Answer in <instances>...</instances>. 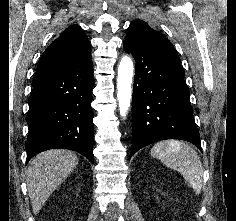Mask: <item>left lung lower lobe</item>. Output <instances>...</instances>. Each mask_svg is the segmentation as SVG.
I'll use <instances>...</instances> for the list:
<instances>
[{
	"label": "left lung lower lobe",
	"instance_id": "obj_1",
	"mask_svg": "<svg viewBox=\"0 0 236 221\" xmlns=\"http://www.w3.org/2000/svg\"><path fill=\"white\" fill-rule=\"evenodd\" d=\"M123 45L136 61L130 158L166 139L185 140L202 151L179 58L135 36H127Z\"/></svg>",
	"mask_w": 236,
	"mask_h": 221
}]
</instances>
